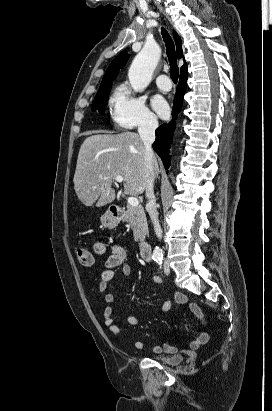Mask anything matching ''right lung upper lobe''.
<instances>
[{"mask_svg":"<svg viewBox=\"0 0 272 411\" xmlns=\"http://www.w3.org/2000/svg\"><path fill=\"white\" fill-rule=\"evenodd\" d=\"M174 40L177 47V55L178 58L183 57V50L181 46V39L177 32L173 31ZM129 59V55L127 51H122L114 60L111 62L110 66L105 72V75L102 79L101 85L99 89H102L108 85L113 83V80L117 77L118 71L126 64L127 60ZM187 72V66L184 61V65L181 67V73Z\"/></svg>","mask_w":272,"mask_h":411,"instance_id":"obj_1","label":"right lung upper lobe"}]
</instances>
